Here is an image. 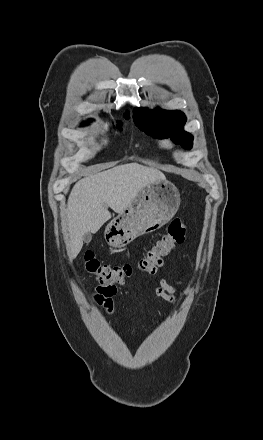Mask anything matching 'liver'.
I'll list each match as a JSON object with an SVG mask.
<instances>
[{
  "mask_svg": "<svg viewBox=\"0 0 263 440\" xmlns=\"http://www.w3.org/2000/svg\"><path fill=\"white\" fill-rule=\"evenodd\" d=\"M165 179L154 168L138 163L119 165L79 180L73 187L65 217L70 261L83 246L86 233H96L111 218L110 207L121 214L148 184Z\"/></svg>",
  "mask_w": 263,
  "mask_h": 440,
  "instance_id": "liver-1",
  "label": "liver"
}]
</instances>
